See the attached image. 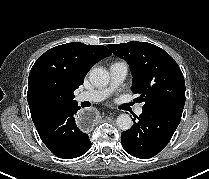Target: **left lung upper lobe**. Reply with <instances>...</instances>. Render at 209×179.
<instances>
[{"instance_id": "1", "label": "left lung upper lobe", "mask_w": 209, "mask_h": 179, "mask_svg": "<svg viewBox=\"0 0 209 179\" xmlns=\"http://www.w3.org/2000/svg\"><path fill=\"white\" fill-rule=\"evenodd\" d=\"M124 59L133 74L132 91L138 94L143 109H175L183 111L185 81L175 60L163 49L147 42L108 45Z\"/></svg>"}]
</instances>
